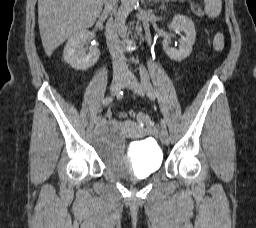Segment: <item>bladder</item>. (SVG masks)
Masks as SVG:
<instances>
[{"label": "bladder", "instance_id": "1", "mask_svg": "<svg viewBox=\"0 0 256 228\" xmlns=\"http://www.w3.org/2000/svg\"><path fill=\"white\" fill-rule=\"evenodd\" d=\"M92 146L102 162L121 178H146L163 165V152L151 139L132 143L129 153L124 154V137L114 125L98 130L92 138Z\"/></svg>", "mask_w": 256, "mask_h": 228}]
</instances>
